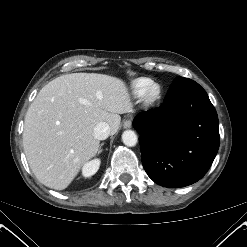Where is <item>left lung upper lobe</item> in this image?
Instances as JSON below:
<instances>
[{
  "instance_id": "1",
  "label": "left lung upper lobe",
  "mask_w": 247,
  "mask_h": 247,
  "mask_svg": "<svg viewBox=\"0 0 247 247\" xmlns=\"http://www.w3.org/2000/svg\"><path fill=\"white\" fill-rule=\"evenodd\" d=\"M193 80L191 79H188V78H184V77H177L173 83H189V82H192Z\"/></svg>"
}]
</instances>
